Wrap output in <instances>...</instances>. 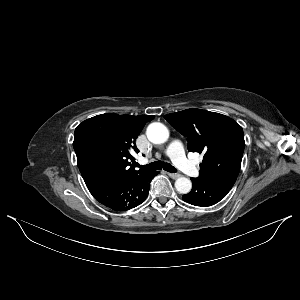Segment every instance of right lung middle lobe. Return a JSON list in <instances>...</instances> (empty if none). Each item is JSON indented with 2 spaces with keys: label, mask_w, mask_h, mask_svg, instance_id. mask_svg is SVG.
Listing matches in <instances>:
<instances>
[{
  "label": "right lung middle lobe",
  "mask_w": 300,
  "mask_h": 300,
  "mask_svg": "<svg viewBox=\"0 0 300 300\" xmlns=\"http://www.w3.org/2000/svg\"><path fill=\"white\" fill-rule=\"evenodd\" d=\"M88 173H89V175H93L94 174L92 169H89Z\"/></svg>",
  "instance_id": "obj_1"
}]
</instances>
